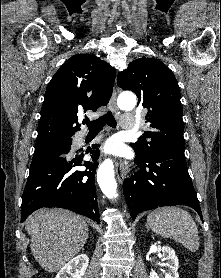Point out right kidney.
<instances>
[{
  "instance_id": "ca27d5eb",
  "label": "right kidney",
  "mask_w": 221,
  "mask_h": 278,
  "mask_svg": "<svg viewBox=\"0 0 221 278\" xmlns=\"http://www.w3.org/2000/svg\"><path fill=\"white\" fill-rule=\"evenodd\" d=\"M88 263V256L86 254H80L65 264L55 278H82L88 267Z\"/></svg>"
}]
</instances>
